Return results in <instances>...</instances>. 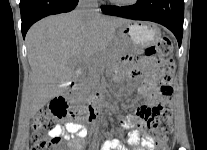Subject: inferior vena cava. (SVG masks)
I'll return each instance as SVG.
<instances>
[{
	"label": "inferior vena cava",
	"mask_w": 207,
	"mask_h": 150,
	"mask_svg": "<svg viewBox=\"0 0 207 150\" xmlns=\"http://www.w3.org/2000/svg\"><path fill=\"white\" fill-rule=\"evenodd\" d=\"M77 14L80 18L86 19L92 15L98 14L97 0H79L77 6Z\"/></svg>",
	"instance_id": "1"
}]
</instances>
